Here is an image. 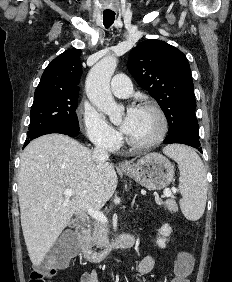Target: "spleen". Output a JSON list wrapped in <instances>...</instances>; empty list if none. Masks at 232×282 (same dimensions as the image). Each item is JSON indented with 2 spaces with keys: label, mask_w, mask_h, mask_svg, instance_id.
Masks as SVG:
<instances>
[{
  "label": "spleen",
  "mask_w": 232,
  "mask_h": 282,
  "mask_svg": "<svg viewBox=\"0 0 232 282\" xmlns=\"http://www.w3.org/2000/svg\"><path fill=\"white\" fill-rule=\"evenodd\" d=\"M164 153L178 163L179 189L182 194L180 208L189 220L202 217L207 200L206 171L198 154L190 147L171 145Z\"/></svg>",
  "instance_id": "spleen-1"
}]
</instances>
